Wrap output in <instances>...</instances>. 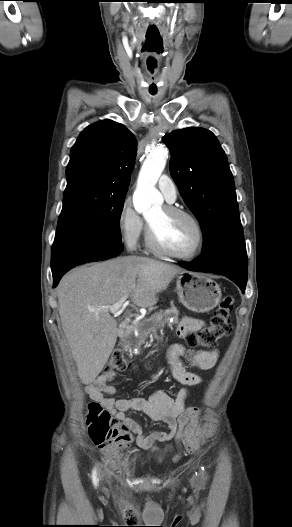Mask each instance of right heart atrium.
Listing matches in <instances>:
<instances>
[{
    "mask_svg": "<svg viewBox=\"0 0 292 527\" xmlns=\"http://www.w3.org/2000/svg\"><path fill=\"white\" fill-rule=\"evenodd\" d=\"M118 229L124 244L136 249L144 232V221L129 200H124L118 214Z\"/></svg>",
    "mask_w": 292,
    "mask_h": 527,
    "instance_id": "obj_1",
    "label": "right heart atrium"
}]
</instances>
